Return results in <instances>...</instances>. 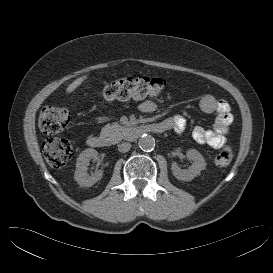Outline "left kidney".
Masks as SVG:
<instances>
[{"label": "left kidney", "instance_id": "1", "mask_svg": "<svg viewBox=\"0 0 273 273\" xmlns=\"http://www.w3.org/2000/svg\"><path fill=\"white\" fill-rule=\"evenodd\" d=\"M186 155L193 161L192 165L188 169H181L177 163L173 162L171 170L178 180L191 181L200 175L201 171L205 169L206 163L204 157L196 149H189Z\"/></svg>", "mask_w": 273, "mask_h": 273}]
</instances>
